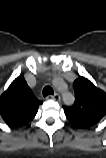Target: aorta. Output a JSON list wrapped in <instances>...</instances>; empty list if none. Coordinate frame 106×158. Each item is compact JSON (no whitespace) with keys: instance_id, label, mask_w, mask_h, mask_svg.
I'll return each instance as SVG.
<instances>
[{"instance_id":"1","label":"aorta","mask_w":106,"mask_h":158,"mask_svg":"<svg viewBox=\"0 0 106 158\" xmlns=\"http://www.w3.org/2000/svg\"><path fill=\"white\" fill-rule=\"evenodd\" d=\"M69 100H73V96L70 93L64 94V101L67 102Z\"/></svg>"}]
</instances>
